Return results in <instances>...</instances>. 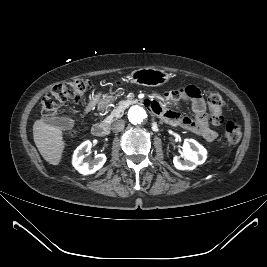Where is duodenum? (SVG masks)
Listing matches in <instances>:
<instances>
[{"label":"duodenum","instance_id":"obj_1","mask_svg":"<svg viewBox=\"0 0 267 267\" xmlns=\"http://www.w3.org/2000/svg\"><path fill=\"white\" fill-rule=\"evenodd\" d=\"M91 131L95 136H105L108 133V125L104 122H96L93 124Z\"/></svg>","mask_w":267,"mask_h":267}]
</instances>
